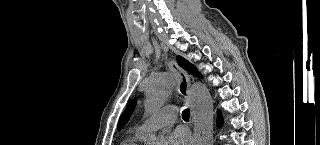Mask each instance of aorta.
<instances>
[{
	"label": "aorta",
	"instance_id": "762f6f07",
	"mask_svg": "<svg viewBox=\"0 0 320 145\" xmlns=\"http://www.w3.org/2000/svg\"><path fill=\"white\" fill-rule=\"evenodd\" d=\"M175 85L172 73H161L152 77L146 90L145 108L148 112L158 111L167 101ZM194 116L196 145H213V101L209 90L202 83H194L190 93ZM150 145H160L157 141Z\"/></svg>",
	"mask_w": 320,
	"mask_h": 145
}]
</instances>
